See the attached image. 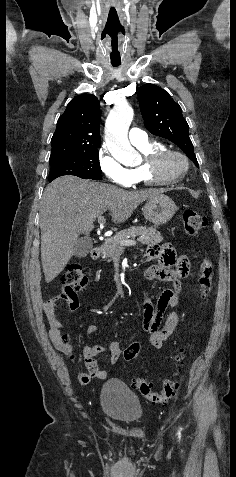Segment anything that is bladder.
Wrapping results in <instances>:
<instances>
[{"label": "bladder", "instance_id": "1", "mask_svg": "<svg viewBox=\"0 0 236 477\" xmlns=\"http://www.w3.org/2000/svg\"><path fill=\"white\" fill-rule=\"evenodd\" d=\"M100 404L105 415L116 422L134 423L143 415L142 405L136 396L117 379H109L103 384Z\"/></svg>", "mask_w": 236, "mask_h": 477}]
</instances>
